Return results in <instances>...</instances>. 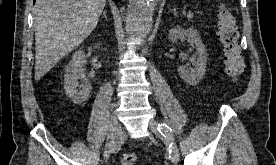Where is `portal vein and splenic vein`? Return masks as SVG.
<instances>
[{
  "mask_svg": "<svg viewBox=\"0 0 276 165\" xmlns=\"http://www.w3.org/2000/svg\"><path fill=\"white\" fill-rule=\"evenodd\" d=\"M192 17H193V13L190 12V13L187 14L188 19H191Z\"/></svg>",
  "mask_w": 276,
  "mask_h": 165,
  "instance_id": "18ae733b",
  "label": "portal vein and splenic vein"
}]
</instances>
